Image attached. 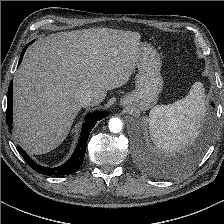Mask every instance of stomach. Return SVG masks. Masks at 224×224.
Here are the masks:
<instances>
[{
  "instance_id": "obj_1",
  "label": "stomach",
  "mask_w": 224,
  "mask_h": 224,
  "mask_svg": "<svg viewBox=\"0 0 224 224\" xmlns=\"http://www.w3.org/2000/svg\"><path fill=\"white\" fill-rule=\"evenodd\" d=\"M136 67L135 90L121 98L120 104L125 108L147 110L156 104L163 88L159 54L152 46L142 44Z\"/></svg>"
}]
</instances>
